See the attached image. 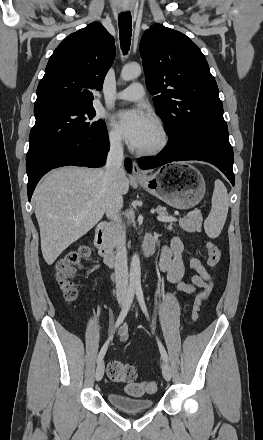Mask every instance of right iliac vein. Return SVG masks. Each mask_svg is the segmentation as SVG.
I'll return each instance as SVG.
<instances>
[{
	"label": "right iliac vein",
	"instance_id": "right-iliac-vein-1",
	"mask_svg": "<svg viewBox=\"0 0 263 440\" xmlns=\"http://www.w3.org/2000/svg\"><path fill=\"white\" fill-rule=\"evenodd\" d=\"M124 304H125V300L124 299L120 300V305L124 306ZM103 375H104V362L101 360L96 368V374H95L96 380L100 381L103 378Z\"/></svg>",
	"mask_w": 263,
	"mask_h": 440
}]
</instances>
